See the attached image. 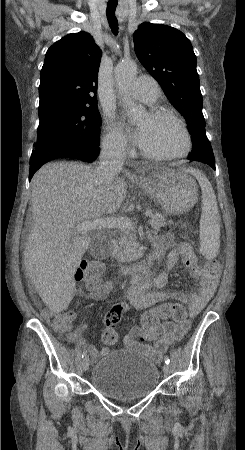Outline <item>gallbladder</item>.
<instances>
[{
    "label": "gallbladder",
    "mask_w": 245,
    "mask_h": 450,
    "mask_svg": "<svg viewBox=\"0 0 245 450\" xmlns=\"http://www.w3.org/2000/svg\"><path fill=\"white\" fill-rule=\"evenodd\" d=\"M103 246L99 243H92L90 244L88 251L89 253L97 258V259H103L106 256V253L103 252Z\"/></svg>",
    "instance_id": "bac80fb5"
}]
</instances>
